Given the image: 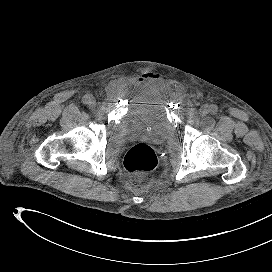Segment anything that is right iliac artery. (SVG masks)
Returning <instances> with one entry per match:
<instances>
[{
  "mask_svg": "<svg viewBox=\"0 0 272 272\" xmlns=\"http://www.w3.org/2000/svg\"><path fill=\"white\" fill-rule=\"evenodd\" d=\"M89 98H90V97H89L88 95H85V96L83 97V100H82L83 103H84V104H89Z\"/></svg>",
  "mask_w": 272,
  "mask_h": 272,
  "instance_id": "82829eb1",
  "label": "right iliac artery"
}]
</instances>
